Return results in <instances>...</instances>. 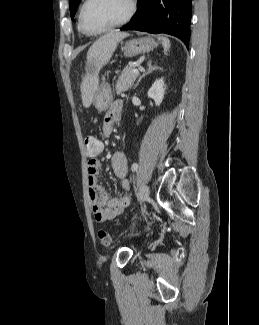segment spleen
I'll use <instances>...</instances> for the list:
<instances>
[{
    "mask_svg": "<svg viewBox=\"0 0 259 325\" xmlns=\"http://www.w3.org/2000/svg\"><path fill=\"white\" fill-rule=\"evenodd\" d=\"M162 45H163V48H164V53L167 54V51L170 48V41H169V39L166 38V37H163L162 38Z\"/></svg>",
    "mask_w": 259,
    "mask_h": 325,
    "instance_id": "1",
    "label": "spleen"
}]
</instances>
